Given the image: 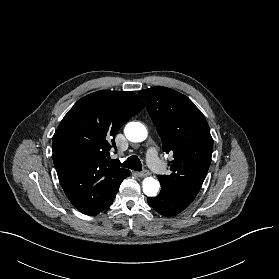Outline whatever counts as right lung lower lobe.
Masks as SVG:
<instances>
[{"label": "right lung lower lobe", "mask_w": 279, "mask_h": 279, "mask_svg": "<svg viewBox=\"0 0 279 279\" xmlns=\"http://www.w3.org/2000/svg\"><path fill=\"white\" fill-rule=\"evenodd\" d=\"M121 182L112 190V192L110 193V196L108 197V199L106 200V202L98 209L96 210L95 212H93L92 214H89V215H94V214H97L99 213L100 211L106 209L107 207H109L112 203H113V200L119 190V186H120Z\"/></svg>", "instance_id": "obj_1"}]
</instances>
